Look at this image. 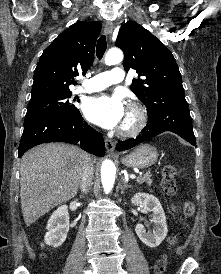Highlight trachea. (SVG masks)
Listing matches in <instances>:
<instances>
[{"mask_svg":"<svg viewBox=\"0 0 221 274\" xmlns=\"http://www.w3.org/2000/svg\"><path fill=\"white\" fill-rule=\"evenodd\" d=\"M106 49H107L106 37L103 35L98 39L97 46H96V55L98 59H102Z\"/></svg>","mask_w":221,"mask_h":274,"instance_id":"3493384b","label":"trachea"}]
</instances>
